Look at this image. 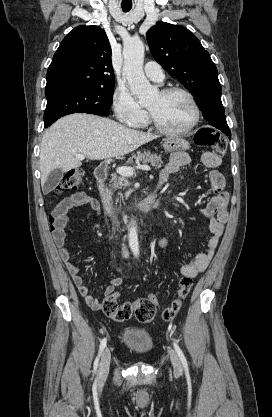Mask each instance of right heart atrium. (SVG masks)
I'll use <instances>...</instances> for the list:
<instances>
[{
  "label": "right heart atrium",
  "instance_id": "obj_1",
  "mask_svg": "<svg viewBox=\"0 0 272 417\" xmlns=\"http://www.w3.org/2000/svg\"><path fill=\"white\" fill-rule=\"evenodd\" d=\"M115 117L127 126H138L146 119V111L138 104L131 91L118 86L112 97Z\"/></svg>",
  "mask_w": 272,
  "mask_h": 417
}]
</instances>
